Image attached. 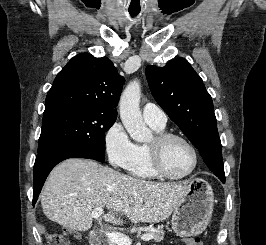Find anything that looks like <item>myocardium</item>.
<instances>
[{
    "mask_svg": "<svg viewBox=\"0 0 266 245\" xmlns=\"http://www.w3.org/2000/svg\"><path fill=\"white\" fill-rule=\"evenodd\" d=\"M172 139H178L186 143L193 152L194 155V163L191 170L184 176L174 177L168 174L162 164V150L167 142ZM147 152L149 157L150 165L154 171V173L162 179L171 180V181H183L189 179L196 172L199 166V153L195 145L185 136L172 133V132H158L153 138V142L147 145Z\"/></svg>",
    "mask_w": 266,
    "mask_h": 245,
    "instance_id": "myocardium-1",
    "label": "myocardium"
}]
</instances>
